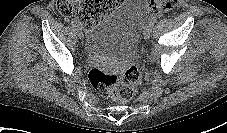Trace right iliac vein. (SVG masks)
Here are the masks:
<instances>
[{"label":"right iliac vein","instance_id":"1","mask_svg":"<svg viewBox=\"0 0 227 133\" xmlns=\"http://www.w3.org/2000/svg\"><path fill=\"white\" fill-rule=\"evenodd\" d=\"M77 33H78L79 38L83 40L84 39V34H83V32L81 31L80 28L77 29Z\"/></svg>","mask_w":227,"mask_h":133}]
</instances>
